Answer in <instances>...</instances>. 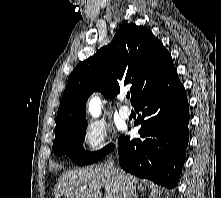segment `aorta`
<instances>
[{"mask_svg": "<svg viewBox=\"0 0 221 198\" xmlns=\"http://www.w3.org/2000/svg\"><path fill=\"white\" fill-rule=\"evenodd\" d=\"M88 110L93 117H99L101 114V101L98 97H93L88 106Z\"/></svg>", "mask_w": 221, "mask_h": 198, "instance_id": "762f6f07", "label": "aorta"}]
</instances>
